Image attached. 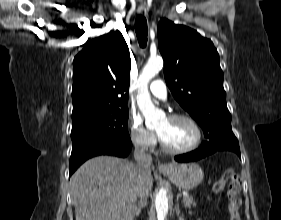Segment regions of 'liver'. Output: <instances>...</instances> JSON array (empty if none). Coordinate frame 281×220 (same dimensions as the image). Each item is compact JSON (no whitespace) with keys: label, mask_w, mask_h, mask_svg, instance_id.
I'll return each instance as SVG.
<instances>
[{"label":"liver","mask_w":281,"mask_h":220,"mask_svg":"<svg viewBox=\"0 0 281 220\" xmlns=\"http://www.w3.org/2000/svg\"><path fill=\"white\" fill-rule=\"evenodd\" d=\"M138 171L128 160L98 156L70 179L76 220H134ZM151 186L153 177L149 176Z\"/></svg>","instance_id":"obj_1"}]
</instances>
